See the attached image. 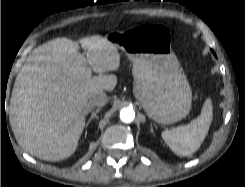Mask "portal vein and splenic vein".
Returning <instances> with one entry per match:
<instances>
[{"label": "portal vein and splenic vein", "instance_id": "1", "mask_svg": "<svg viewBox=\"0 0 245 187\" xmlns=\"http://www.w3.org/2000/svg\"><path fill=\"white\" fill-rule=\"evenodd\" d=\"M88 72L91 73V68H88Z\"/></svg>", "mask_w": 245, "mask_h": 187}]
</instances>
